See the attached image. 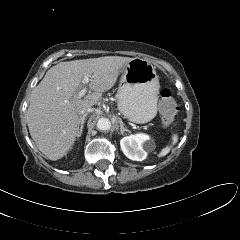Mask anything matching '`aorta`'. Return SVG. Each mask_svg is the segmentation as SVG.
Listing matches in <instances>:
<instances>
[{"mask_svg": "<svg viewBox=\"0 0 240 240\" xmlns=\"http://www.w3.org/2000/svg\"><path fill=\"white\" fill-rule=\"evenodd\" d=\"M111 127V122L107 118H100L97 122V128L99 130H109Z\"/></svg>", "mask_w": 240, "mask_h": 240, "instance_id": "1", "label": "aorta"}]
</instances>
